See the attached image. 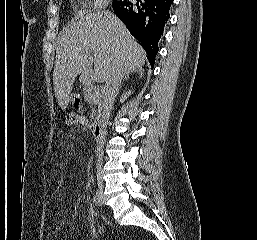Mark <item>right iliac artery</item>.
<instances>
[{
    "instance_id": "1",
    "label": "right iliac artery",
    "mask_w": 257,
    "mask_h": 240,
    "mask_svg": "<svg viewBox=\"0 0 257 240\" xmlns=\"http://www.w3.org/2000/svg\"><path fill=\"white\" fill-rule=\"evenodd\" d=\"M95 201L99 206L103 204L102 193L98 189L96 190Z\"/></svg>"
}]
</instances>
